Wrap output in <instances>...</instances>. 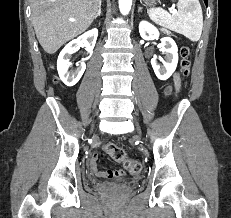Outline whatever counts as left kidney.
<instances>
[{"label":"left kidney","instance_id":"left-kidney-1","mask_svg":"<svg viewBox=\"0 0 231 218\" xmlns=\"http://www.w3.org/2000/svg\"><path fill=\"white\" fill-rule=\"evenodd\" d=\"M139 33L144 40H153L159 37L158 29L147 21H141L139 24ZM162 52L165 54L162 60L163 66L159 64L156 58L151 59V65L156 76L160 80L168 79L176 70L178 64V48L175 41L170 37L161 39Z\"/></svg>","mask_w":231,"mask_h":218}]
</instances>
